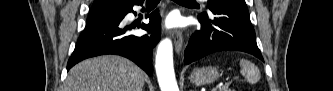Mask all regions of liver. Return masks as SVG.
Listing matches in <instances>:
<instances>
[{
    "mask_svg": "<svg viewBox=\"0 0 333 91\" xmlns=\"http://www.w3.org/2000/svg\"><path fill=\"white\" fill-rule=\"evenodd\" d=\"M144 72L119 56H100L80 62L68 73L64 91H142Z\"/></svg>",
    "mask_w": 333,
    "mask_h": 91,
    "instance_id": "6515ba94",
    "label": "liver"
}]
</instances>
